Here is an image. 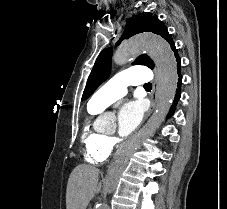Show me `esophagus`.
Returning <instances> with one entry per match:
<instances>
[{"instance_id":"esophagus-1","label":"esophagus","mask_w":227,"mask_h":209,"mask_svg":"<svg viewBox=\"0 0 227 209\" xmlns=\"http://www.w3.org/2000/svg\"><path fill=\"white\" fill-rule=\"evenodd\" d=\"M155 78L151 93V105H149V108L147 109L148 113H153L154 110H156V107L158 106L157 100H158V90H159V79H158V73L157 70H154Z\"/></svg>"}]
</instances>
